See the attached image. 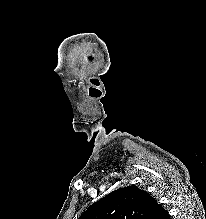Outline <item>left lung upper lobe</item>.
Instances as JSON below:
<instances>
[{"mask_svg": "<svg viewBox=\"0 0 206 219\" xmlns=\"http://www.w3.org/2000/svg\"><path fill=\"white\" fill-rule=\"evenodd\" d=\"M154 200L137 186H127L90 205L78 219H150Z\"/></svg>", "mask_w": 206, "mask_h": 219, "instance_id": "left-lung-upper-lobe-1", "label": "left lung upper lobe"}]
</instances>
